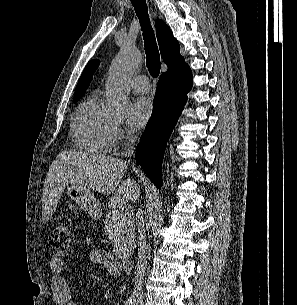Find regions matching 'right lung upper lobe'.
<instances>
[{
  "mask_svg": "<svg viewBox=\"0 0 297 305\" xmlns=\"http://www.w3.org/2000/svg\"><path fill=\"white\" fill-rule=\"evenodd\" d=\"M155 26L161 57L164 63L168 66V70L165 73H176L187 66L184 58L180 54L179 43L174 38L170 28L164 21L157 19L155 21ZM98 65V60H92L87 64L76 86L74 99H80L84 95Z\"/></svg>",
  "mask_w": 297,
  "mask_h": 305,
  "instance_id": "right-lung-upper-lobe-1",
  "label": "right lung upper lobe"
}]
</instances>
